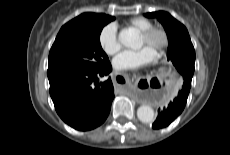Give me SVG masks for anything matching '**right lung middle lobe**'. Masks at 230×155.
<instances>
[{"mask_svg": "<svg viewBox=\"0 0 230 155\" xmlns=\"http://www.w3.org/2000/svg\"><path fill=\"white\" fill-rule=\"evenodd\" d=\"M114 19L103 16L86 27L60 30L49 53L48 72L97 69L110 63L99 38L103 27Z\"/></svg>", "mask_w": 230, "mask_h": 155, "instance_id": "1", "label": "right lung middle lobe"}]
</instances>
